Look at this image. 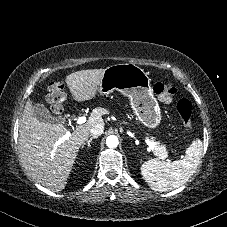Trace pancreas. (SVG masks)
Instances as JSON below:
<instances>
[{
  "instance_id": "cf45deb5",
  "label": "pancreas",
  "mask_w": 227,
  "mask_h": 227,
  "mask_svg": "<svg viewBox=\"0 0 227 227\" xmlns=\"http://www.w3.org/2000/svg\"><path fill=\"white\" fill-rule=\"evenodd\" d=\"M153 139V138H152ZM158 146V148H156V155L161 158L164 159V155L166 154V147L163 144H160V142H155Z\"/></svg>"
}]
</instances>
